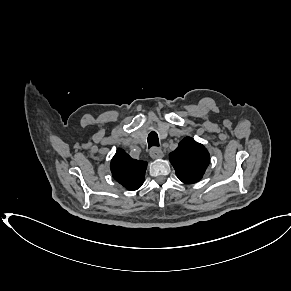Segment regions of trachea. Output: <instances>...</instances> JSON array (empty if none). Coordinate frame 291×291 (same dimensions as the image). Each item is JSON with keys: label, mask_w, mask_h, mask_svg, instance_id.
Returning <instances> with one entry per match:
<instances>
[{"label": "trachea", "mask_w": 291, "mask_h": 291, "mask_svg": "<svg viewBox=\"0 0 291 291\" xmlns=\"http://www.w3.org/2000/svg\"><path fill=\"white\" fill-rule=\"evenodd\" d=\"M147 141H148L149 148L153 146H156V147L159 146L158 135L154 131L149 133Z\"/></svg>", "instance_id": "1"}]
</instances>
